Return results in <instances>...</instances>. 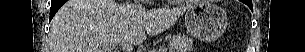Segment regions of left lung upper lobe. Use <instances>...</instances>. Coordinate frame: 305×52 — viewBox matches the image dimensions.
Here are the masks:
<instances>
[{
  "mask_svg": "<svg viewBox=\"0 0 305 52\" xmlns=\"http://www.w3.org/2000/svg\"><path fill=\"white\" fill-rule=\"evenodd\" d=\"M244 2H246L250 9H253L251 0H245Z\"/></svg>",
  "mask_w": 305,
  "mask_h": 52,
  "instance_id": "obj_1",
  "label": "left lung upper lobe"
}]
</instances>
